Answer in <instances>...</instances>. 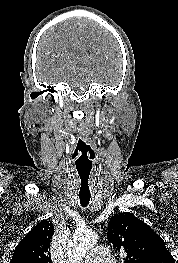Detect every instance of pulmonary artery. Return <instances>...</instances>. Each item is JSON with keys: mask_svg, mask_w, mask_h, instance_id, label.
<instances>
[{"mask_svg": "<svg viewBox=\"0 0 178 263\" xmlns=\"http://www.w3.org/2000/svg\"><path fill=\"white\" fill-rule=\"evenodd\" d=\"M111 253L103 247L92 248L83 260V263H110Z\"/></svg>", "mask_w": 178, "mask_h": 263, "instance_id": "pulmonary-artery-1", "label": "pulmonary artery"}]
</instances>
